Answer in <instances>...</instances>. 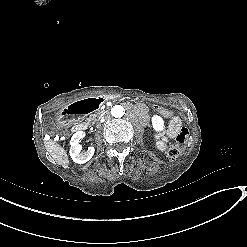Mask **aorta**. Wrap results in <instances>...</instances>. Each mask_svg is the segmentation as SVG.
<instances>
[{
    "mask_svg": "<svg viewBox=\"0 0 247 247\" xmlns=\"http://www.w3.org/2000/svg\"><path fill=\"white\" fill-rule=\"evenodd\" d=\"M111 114L115 118H120L125 114V109L121 105H115L111 109Z\"/></svg>",
    "mask_w": 247,
    "mask_h": 247,
    "instance_id": "762f6f07",
    "label": "aorta"
}]
</instances>
